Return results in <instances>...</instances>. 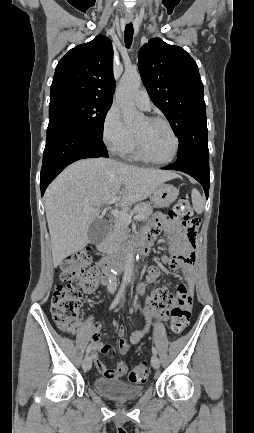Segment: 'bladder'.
I'll list each match as a JSON object with an SVG mask.
<instances>
[{
  "instance_id": "obj_1",
  "label": "bladder",
  "mask_w": 254,
  "mask_h": 433,
  "mask_svg": "<svg viewBox=\"0 0 254 433\" xmlns=\"http://www.w3.org/2000/svg\"><path fill=\"white\" fill-rule=\"evenodd\" d=\"M93 385L102 395L118 400L137 398L144 391L143 385L133 384L121 379L98 377L94 380Z\"/></svg>"
}]
</instances>
